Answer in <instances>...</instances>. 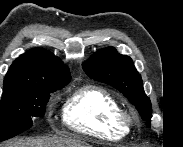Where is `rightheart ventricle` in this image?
I'll list each match as a JSON object with an SVG mask.
<instances>
[{
    "label": "right heart ventricle",
    "instance_id": "obj_1",
    "mask_svg": "<svg viewBox=\"0 0 183 147\" xmlns=\"http://www.w3.org/2000/svg\"><path fill=\"white\" fill-rule=\"evenodd\" d=\"M119 109L118 101L108 90L85 85L66 100L63 121L70 130L85 136L121 139L128 134V129L115 121Z\"/></svg>",
    "mask_w": 183,
    "mask_h": 147
}]
</instances>
